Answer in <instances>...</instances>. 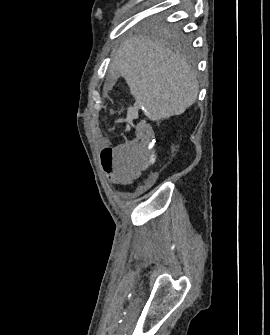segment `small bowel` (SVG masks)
Wrapping results in <instances>:
<instances>
[{
	"label": "small bowel",
	"instance_id": "small-bowel-1",
	"mask_svg": "<svg viewBox=\"0 0 270 335\" xmlns=\"http://www.w3.org/2000/svg\"><path fill=\"white\" fill-rule=\"evenodd\" d=\"M125 134H137L133 144H97V151L103 154H95L94 160L101 161L102 173H107L108 178H136L140 174L139 169H146L151 165L148 156H159V149H153L155 138L152 128L144 121H127Z\"/></svg>",
	"mask_w": 270,
	"mask_h": 335
}]
</instances>
